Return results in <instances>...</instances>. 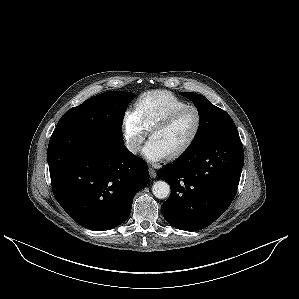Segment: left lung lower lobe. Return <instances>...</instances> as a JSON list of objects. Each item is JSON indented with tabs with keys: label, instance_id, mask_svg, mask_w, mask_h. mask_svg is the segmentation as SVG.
<instances>
[{
	"label": "left lung lower lobe",
	"instance_id": "obj_1",
	"mask_svg": "<svg viewBox=\"0 0 299 299\" xmlns=\"http://www.w3.org/2000/svg\"><path fill=\"white\" fill-rule=\"evenodd\" d=\"M243 163V146L233 124L159 170L158 177L171 187L161 206L166 221L185 231L212 224L232 203Z\"/></svg>",
	"mask_w": 299,
	"mask_h": 299
}]
</instances>
